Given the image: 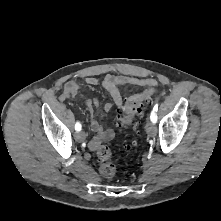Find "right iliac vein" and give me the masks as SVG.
Segmentation results:
<instances>
[{
	"label": "right iliac vein",
	"mask_w": 221,
	"mask_h": 221,
	"mask_svg": "<svg viewBox=\"0 0 221 221\" xmlns=\"http://www.w3.org/2000/svg\"><path fill=\"white\" fill-rule=\"evenodd\" d=\"M75 137L77 141L83 142L86 139V134L85 132L81 131V132H78Z\"/></svg>",
	"instance_id": "1"
}]
</instances>
